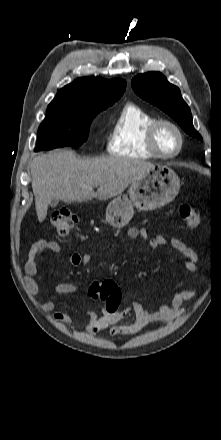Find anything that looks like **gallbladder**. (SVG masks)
I'll return each instance as SVG.
<instances>
[{
  "label": "gallbladder",
  "instance_id": "gallbladder-1",
  "mask_svg": "<svg viewBox=\"0 0 221 440\" xmlns=\"http://www.w3.org/2000/svg\"><path fill=\"white\" fill-rule=\"evenodd\" d=\"M57 204H58V200H52V201L50 202V206H51V207H55Z\"/></svg>",
  "mask_w": 221,
  "mask_h": 440
}]
</instances>
